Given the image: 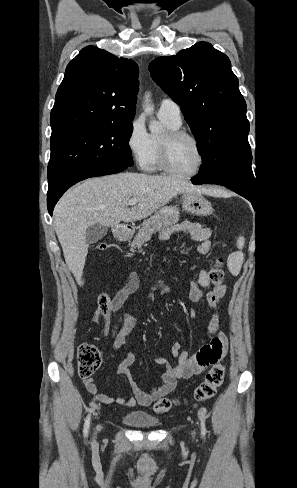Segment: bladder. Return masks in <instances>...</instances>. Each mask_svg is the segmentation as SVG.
Here are the masks:
<instances>
[{
    "instance_id": "bladder-1",
    "label": "bladder",
    "mask_w": 297,
    "mask_h": 488,
    "mask_svg": "<svg viewBox=\"0 0 297 488\" xmlns=\"http://www.w3.org/2000/svg\"><path fill=\"white\" fill-rule=\"evenodd\" d=\"M123 421L135 428H154L160 425V421L143 411H133L123 416Z\"/></svg>"
}]
</instances>
